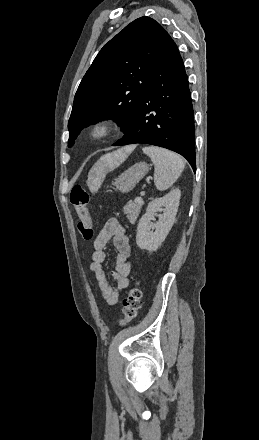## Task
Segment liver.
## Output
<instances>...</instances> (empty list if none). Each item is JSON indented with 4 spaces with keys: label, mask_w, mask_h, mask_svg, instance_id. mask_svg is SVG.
<instances>
[{
    "label": "liver",
    "mask_w": 259,
    "mask_h": 440,
    "mask_svg": "<svg viewBox=\"0 0 259 440\" xmlns=\"http://www.w3.org/2000/svg\"><path fill=\"white\" fill-rule=\"evenodd\" d=\"M134 148L135 146H127L102 156L90 173L93 180V189H98L106 173L119 167Z\"/></svg>",
    "instance_id": "1"
}]
</instances>
